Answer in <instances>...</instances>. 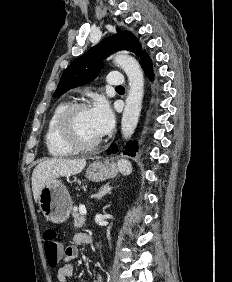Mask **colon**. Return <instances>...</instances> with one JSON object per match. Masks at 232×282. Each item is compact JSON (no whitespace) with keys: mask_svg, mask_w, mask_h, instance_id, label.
I'll return each mask as SVG.
<instances>
[{"mask_svg":"<svg viewBox=\"0 0 232 282\" xmlns=\"http://www.w3.org/2000/svg\"><path fill=\"white\" fill-rule=\"evenodd\" d=\"M43 244L47 263L50 267H56L68 251L62 249V244L57 232L53 229H46L43 233Z\"/></svg>","mask_w":232,"mask_h":282,"instance_id":"obj_1","label":"colon"}]
</instances>
